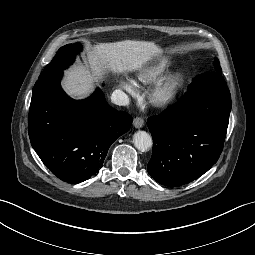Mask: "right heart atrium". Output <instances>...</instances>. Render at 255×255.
Returning <instances> with one entry per match:
<instances>
[{
	"label": "right heart atrium",
	"mask_w": 255,
	"mask_h": 255,
	"mask_svg": "<svg viewBox=\"0 0 255 255\" xmlns=\"http://www.w3.org/2000/svg\"><path fill=\"white\" fill-rule=\"evenodd\" d=\"M121 86L125 89L129 94H134L136 87L132 81H122Z\"/></svg>",
	"instance_id": "d8ad5b80"
}]
</instances>
